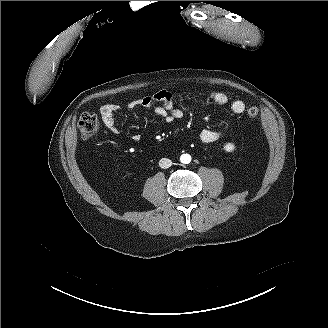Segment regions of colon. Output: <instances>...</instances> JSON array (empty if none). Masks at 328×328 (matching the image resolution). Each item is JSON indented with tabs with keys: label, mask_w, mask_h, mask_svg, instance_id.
Returning <instances> with one entry per match:
<instances>
[{
	"label": "colon",
	"mask_w": 328,
	"mask_h": 328,
	"mask_svg": "<svg viewBox=\"0 0 328 328\" xmlns=\"http://www.w3.org/2000/svg\"><path fill=\"white\" fill-rule=\"evenodd\" d=\"M258 114H259V109L255 106H251L247 109V115L250 118H255L258 116ZM78 127L81 136L84 139H89L98 130L99 121L97 116L88 112L81 114L78 120Z\"/></svg>",
	"instance_id": "1"
}]
</instances>
